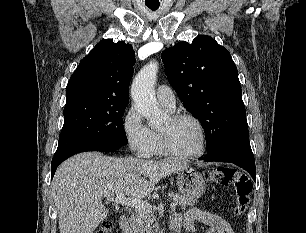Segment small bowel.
I'll list each match as a JSON object with an SVG mask.
<instances>
[{"label":"small bowel","instance_id":"small-bowel-1","mask_svg":"<svg viewBox=\"0 0 306 233\" xmlns=\"http://www.w3.org/2000/svg\"><path fill=\"white\" fill-rule=\"evenodd\" d=\"M196 222L208 225L207 233H234L233 228L224 218L201 209H190L181 215L173 216L170 225L177 231L185 228L192 233L195 231Z\"/></svg>","mask_w":306,"mask_h":233}]
</instances>
